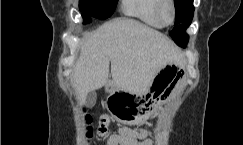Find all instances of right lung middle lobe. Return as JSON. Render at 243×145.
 Masks as SVG:
<instances>
[{"instance_id":"obj_1","label":"right lung middle lobe","mask_w":243,"mask_h":145,"mask_svg":"<svg viewBox=\"0 0 243 145\" xmlns=\"http://www.w3.org/2000/svg\"><path fill=\"white\" fill-rule=\"evenodd\" d=\"M117 2L118 0H80L79 8L82 13L93 18L106 19L113 14Z\"/></svg>"}]
</instances>
